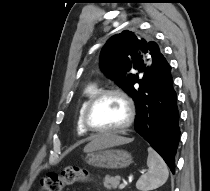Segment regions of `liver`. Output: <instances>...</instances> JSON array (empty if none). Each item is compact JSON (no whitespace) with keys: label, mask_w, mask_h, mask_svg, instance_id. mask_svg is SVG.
Instances as JSON below:
<instances>
[{"label":"liver","mask_w":210,"mask_h":191,"mask_svg":"<svg viewBox=\"0 0 210 191\" xmlns=\"http://www.w3.org/2000/svg\"><path fill=\"white\" fill-rule=\"evenodd\" d=\"M132 139L118 136L116 134H103L94 138L84 148V152H91L112 146L122 145L131 142Z\"/></svg>","instance_id":"1"}]
</instances>
